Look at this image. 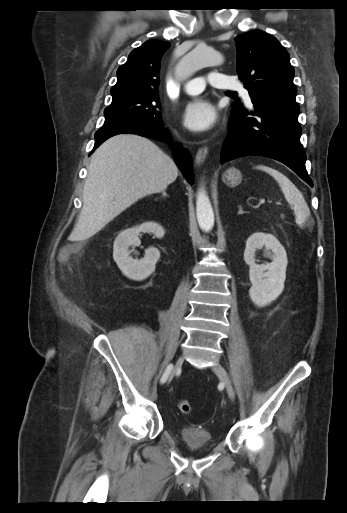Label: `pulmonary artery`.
Listing matches in <instances>:
<instances>
[{
	"mask_svg": "<svg viewBox=\"0 0 347 513\" xmlns=\"http://www.w3.org/2000/svg\"><path fill=\"white\" fill-rule=\"evenodd\" d=\"M207 83L219 89L239 91L246 102H251L249 91L243 85L216 71L211 72L207 78L197 77L188 81L184 86V91L190 95L199 94L205 89Z\"/></svg>",
	"mask_w": 347,
	"mask_h": 513,
	"instance_id": "pulmonary-artery-1",
	"label": "pulmonary artery"
}]
</instances>
